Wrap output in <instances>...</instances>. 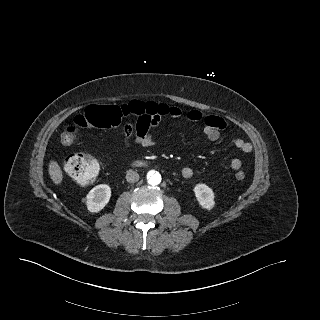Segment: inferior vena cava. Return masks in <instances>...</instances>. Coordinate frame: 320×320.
Instances as JSON below:
<instances>
[{
    "mask_svg": "<svg viewBox=\"0 0 320 320\" xmlns=\"http://www.w3.org/2000/svg\"><path fill=\"white\" fill-rule=\"evenodd\" d=\"M126 180L129 183H135L139 180V174L133 170L127 171Z\"/></svg>",
    "mask_w": 320,
    "mask_h": 320,
    "instance_id": "1",
    "label": "inferior vena cava"
}]
</instances>
